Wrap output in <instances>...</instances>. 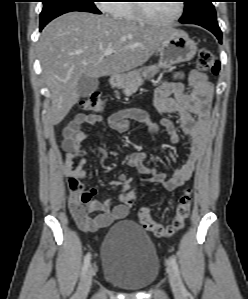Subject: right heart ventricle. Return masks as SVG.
Returning a JSON list of instances; mask_svg holds the SVG:
<instances>
[{"mask_svg":"<svg viewBox=\"0 0 248 299\" xmlns=\"http://www.w3.org/2000/svg\"><path fill=\"white\" fill-rule=\"evenodd\" d=\"M125 3H118L116 7L115 14L118 18L130 24H138L142 22V20L137 15L135 10V6L132 3H128L131 1H124Z\"/></svg>","mask_w":248,"mask_h":299,"instance_id":"right-heart-ventricle-1","label":"right heart ventricle"}]
</instances>
